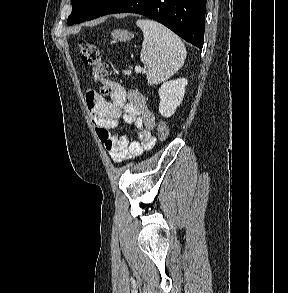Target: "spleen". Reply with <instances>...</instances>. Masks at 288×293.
Instances as JSON below:
<instances>
[{"mask_svg": "<svg viewBox=\"0 0 288 293\" xmlns=\"http://www.w3.org/2000/svg\"><path fill=\"white\" fill-rule=\"evenodd\" d=\"M143 31L141 61L147 65L149 85L159 84L174 75L186 59L181 39L164 25L149 19H139Z\"/></svg>", "mask_w": 288, "mask_h": 293, "instance_id": "3e777b00", "label": "spleen"}]
</instances>
